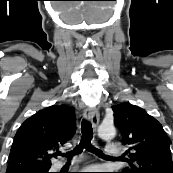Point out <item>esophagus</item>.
<instances>
[{
    "label": "esophagus",
    "instance_id": "1",
    "mask_svg": "<svg viewBox=\"0 0 173 173\" xmlns=\"http://www.w3.org/2000/svg\"><path fill=\"white\" fill-rule=\"evenodd\" d=\"M83 116L85 119L89 120L93 127L96 129L99 124V111L97 108L88 107L84 110Z\"/></svg>",
    "mask_w": 173,
    "mask_h": 173
}]
</instances>
